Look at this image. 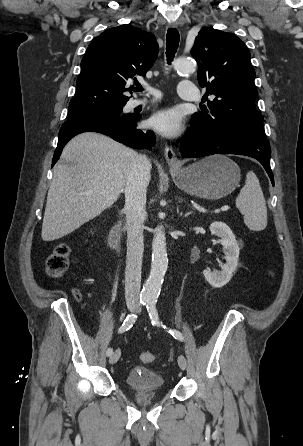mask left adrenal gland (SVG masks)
Listing matches in <instances>:
<instances>
[{
    "label": "left adrenal gland",
    "instance_id": "obj_1",
    "mask_svg": "<svg viewBox=\"0 0 303 446\" xmlns=\"http://www.w3.org/2000/svg\"><path fill=\"white\" fill-rule=\"evenodd\" d=\"M190 214H192V211L186 212V213L184 214V217H187V216H189Z\"/></svg>",
    "mask_w": 303,
    "mask_h": 446
}]
</instances>
